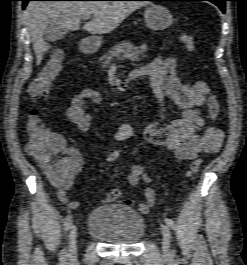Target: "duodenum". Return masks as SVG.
I'll return each mask as SVG.
<instances>
[{
  "instance_id": "410a0bca",
  "label": "duodenum",
  "mask_w": 247,
  "mask_h": 265,
  "mask_svg": "<svg viewBox=\"0 0 247 265\" xmlns=\"http://www.w3.org/2000/svg\"><path fill=\"white\" fill-rule=\"evenodd\" d=\"M80 51L84 55H89L97 51L95 43L90 39H85L80 44Z\"/></svg>"
}]
</instances>
